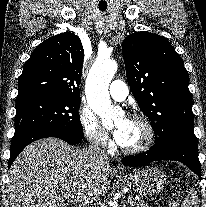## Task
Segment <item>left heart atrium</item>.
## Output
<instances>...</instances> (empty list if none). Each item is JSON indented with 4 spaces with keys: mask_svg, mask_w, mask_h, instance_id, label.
I'll list each match as a JSON object with an SVG mask.
<instances>
[{
    "mask_svg": "<svg viewBox=\"0 0 206 207\" xmlns=\"http://www.w3.org/2000/svg\"><path fill=\"white\" fill-rule=\"evenodd\" d=\"M114 138L118 144L123 145V143L125 141V129L124 128H117L114 131Z\"/></svg>",
    "mask_w": 206,
    "mask_h": 207,
    "instance_id": "39dd6f15",
    "label": "left heart atrium"
}]
</instances>
